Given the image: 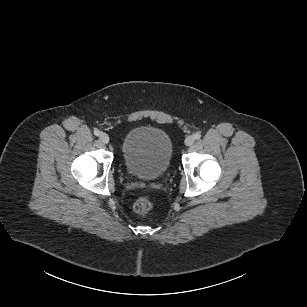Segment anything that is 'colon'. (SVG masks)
Here are the masks:
<instances>
[{"label":"colon","instance_id":"1","mask_svg":"<svg viewBox=\"0 0 307 307\" xmlns=\"http://www.w3.org/2000/svg\"><path fill=\"white\" fill-rule=\"evenodd\" d=\"M153 207V201L147 196L138 198L134 203V211L138 214H146L150 212Z\"/></svg>","mask_w":307,"mask_h":307}]
</instances>
